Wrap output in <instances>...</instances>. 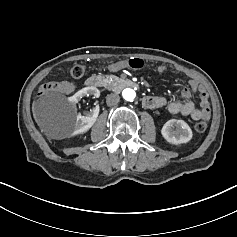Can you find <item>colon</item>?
<instances>
[{
	"mask_svg": "<svg viewBox=\"0 0 237 237\" xmlns=\"http://www.w3.org/2000/svg\"><path fill=\"white\" fill-rule=\"evenodd\" d=\"M143 60L139 58H132L127 61V66L131 69L139 70L143 67ZM85 68L81 64H76L71 68V75L75 78H80L83 76ZM52 90V83H45L39 88V95L46 94ZM207 123L205 121H199L195 125V129L199 133H204L207 130Z\"/></svg>",
	"mask_w": 237,
	"mask_h": 237,
	"instance_id": "1",
	"label": "colon"
}]
</instances>
